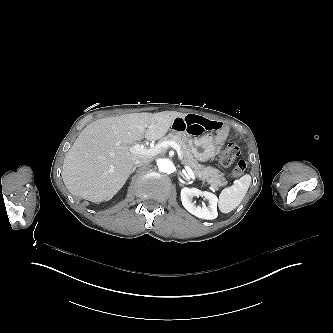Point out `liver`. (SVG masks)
<instances>
[{"label":"liver","instance_id":"obj_1","mask_svg":"<svg viewBox=\"0 0 333 333\" xmlns=\"http://www.w3.org/2000/svg\"><path fill=\"white\" fill-rule=\"evenodd\" d=\"M185 115L177 111L132 113L90 123L65 155L62 180L66 189L94 203L111 199L125 185L135 162L152 158L132 152L136 141L143 136L148 141L160 140L173 121Z\"/></svg>","mask_w":333,"mask_h":333}]
</instances>
